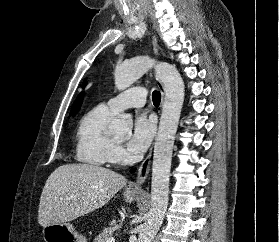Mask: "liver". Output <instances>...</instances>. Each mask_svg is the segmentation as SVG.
Returning <instances> with one entry per match:
<instances>
[{"label": "liver", "instance_id": "6515ba94", "mask_svg": "<svg viewBox=\"0 0 279 242\" xmlns=\"http://www.w3.org/2000/svg\"><path fill=\"white\" fill-rule=\"evenodd\" d=\"M127 183L121 174L89 164L59 166L48 177L39 203L38 222L66 223L105 205Z\"/></svg>", "mask_w": 279, "mask_h": 242}]
</instances>
